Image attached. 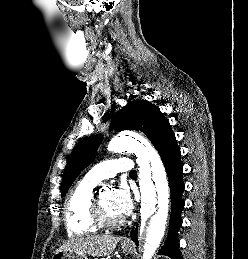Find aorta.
Returning a JSON list of instances; mask_svg holds the SVG:
<instances>
[{"label":"aorta","mask_w":248,"mask_h":259,"mask_svg":"<svg viewBox=\"0 0 248 259\" xmlns=\"http://www.w3.org/2000/svg\"><path fill=\"white\" fill-rule=\"evenodd\" d=\"M108 150H130L137 157L141 234L145 235L143 259H151L164 236L168 216L169 186L163 163L153 146L136 134L115 136L109 142Z\"/></svg>","instance_id":"obj_1"}]
</instances>
